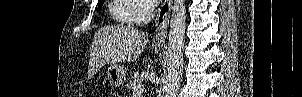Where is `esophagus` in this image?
I'll return each mask as SVG.
<instances>
[{
    "label": "esophagus",
    "mask_w": 302,
    "mask_h": 97,
    "mask_svg": "<svg viewBox=\"0 0 302 97\" xmlns=\"http://www.w3.org/2000/svg\"><path fill=\"white\" fill-rule=\"evenodd\" d=\"M172 2V0H165L158 10V14L155 20L156 30L154 36V41L157 43H164L167 38V29L170 19Z\"/></svg>",
    "instance_id": "esophagus-1"
}]
</instances>
